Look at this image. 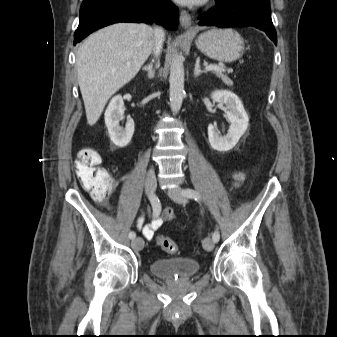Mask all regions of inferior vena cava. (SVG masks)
<instances>
[{
	"mask_svg": "<svg viewBox=\"0 0 337 337\" xmlns=\"http://www.w3.org/2000/svg\"><path fill=\"white\" fill-rule=\"evenodd\" d=\"M155 44L153 48L154 55L157 57L161 53L162 45L164 42V32L161 28L157 27L154 30Z\"/></svg>",
	"mask_w": 337,
	"mask_h": 337,
	"instance_id": "602c4592",
	"label": "inferior vena cava"
}]
</instances>
